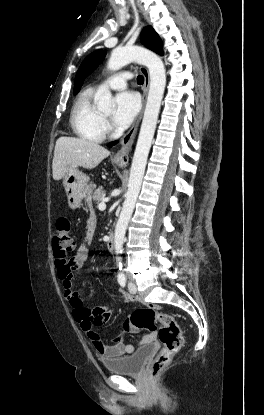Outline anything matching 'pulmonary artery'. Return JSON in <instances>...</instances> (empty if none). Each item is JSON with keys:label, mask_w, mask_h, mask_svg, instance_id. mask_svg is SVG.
Returning a JSON list of instances; mask_svg holds the SVG:
<instances>
[{"label": "pulmonary artery", "mask_w": 264, "mask_h": 415, "mask_svg": "<svg viewBox=\"0 0 264 415\" xmlns=\"http://www.w3.org/2000/svg\"><path fill=\"white\" fill-rule=\"evenodd\" d=\"M132 76L126 72H120L114 74L113 76L109 77L106 81H104L99 88H110L113 90H122L125 89L127 86V81L131 79Z\"/></svg>", "instance_id": "obj_1"}]
</instances>
